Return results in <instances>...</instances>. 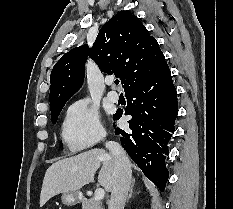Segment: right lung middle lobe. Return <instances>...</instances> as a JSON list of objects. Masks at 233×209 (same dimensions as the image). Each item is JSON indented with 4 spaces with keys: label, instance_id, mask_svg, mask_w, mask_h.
I'll return each mask as SVG.
<instances>
[{
    "label": "right lung middle lobe",
    "instance_id": "dd1d6c3e",
    "mask_svg": "<svg viewBox=\"0 0 233 209\" xmlns=\"http://www.w3.org/2000/svg\"><path fill=\"white\" fill-rule=\"evenodd\" d=\"M63 106H64V105H63ZM63 106H60V107L56 108L55 110H53V111L51 112V121H52L53 124L56 123L57 118H58V116H59V114H60V112H61Z\"/></svg>",
    "mask_w": 233,
    "mask_h": 209
}]
</instances>
